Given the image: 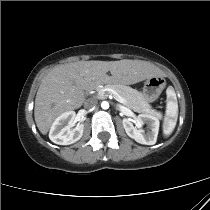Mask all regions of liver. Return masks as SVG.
I'll use <instances>...</instances> for the list:
<instances>
[{"label": "liver", "mask_w": 210, "mask_h": 210, "mask_svg": "<svg viewBox=\"0 0 210 210\" xmlns=\"http://www.w3.org/2000/svg\"><path fill=\"white\" fill-rule=\"evenodd\" d=\"M111 76L107 75V72ZM154 65L141 60L77 61L52 69L43 79L35 98L34 117L39 131L48 133L53 121L85 102L84 90L101 84L131 85L160 75Z\"/></svg>", "instance_id": "obj_1"}]
</instances>
